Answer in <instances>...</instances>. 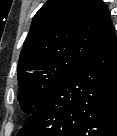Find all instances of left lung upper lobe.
Masks as SVG:
<instances>
[{"label": "left lung upper lobe", "mask_w": 117, "mask_h": 136, "mask_svg": "<svg viewBox=\"0 0 117 136\" xmlns=\"http://www.w3.org/2000/svg\"><path fill=\"white\" fill-rule=\"evenodd\" d=\"M112 30L102 0H48L33 17L19 57L21 109L33 113Z\"/></svg>", "instance_id": "obj_1"}]
</instances>
